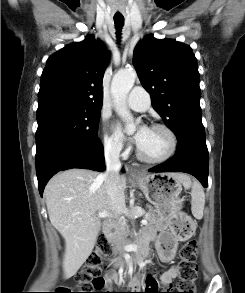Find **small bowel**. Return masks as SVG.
I'll use <instances>...</instances> for the list:
<instances>
[{
	"label": "small bowel",
	"mask_w": 245,
	"mask_h": 293,
	"mask_svg": "<svg viewBox=\"0 0 245 293\" xmlns=\"http://www.w3.org/2000/svg\"><path fill=\"white\" fill-rule=\"evenodd\" d=\"M155 238L156 240V249L160 256V258L164 261H170L175 256L177 251L178 243L184 240V237H176L172 234L171 231H164L159 234H154L150 230H144L141 233V241L146 244L149 240ZM178 276V267L172 266L167 271L163 273L161 276V288L163 290H167L170 286L172 281ZM106 280L109 284L115 283L120 287H125L126 282L122 279L116 272L110 271L107 276ZM134 285H140V281L134 279L132 281ZM150 280H145V285L150 286Z\"/></svg>",
	"instance_id": "obj_1"
}]
</instances>
